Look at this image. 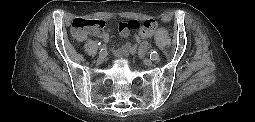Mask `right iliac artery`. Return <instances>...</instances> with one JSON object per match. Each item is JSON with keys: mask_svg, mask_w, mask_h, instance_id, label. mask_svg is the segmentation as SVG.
Listing matches in <instances>:
<instances>
[{"mask_svg": "<svg viewBox=\"0 0 255 122\" xmlns=\"http://www.w3.org/2000/svg\"><path fill=\"white\" fill-rule=\"evenodd\" d=\"M99 45H101V43H99ZM106 51V47L104 45L100 46V52H105Z\"/></svg>", "mask_w": 255, "mask_h": 122, "instance_id": "82829eb1", "label": "right iliac artery"}]
</instances>
